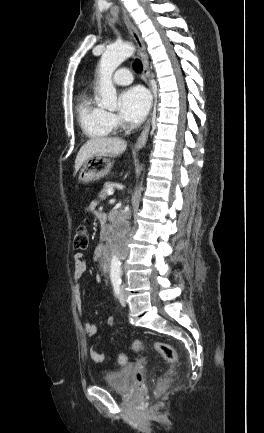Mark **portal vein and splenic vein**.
<instances>
[{
  "label": "portal vein and splenic vein",
  "instance_id": "18ae733b",
  "mask_svg": "<svg viewBox=\"0 0 264 433\" xmlns=\"http://www.w3.org/2000/svg\"><path fill=\"white\" fill-rule=\"evenodd\" d=\"M114 191L113 190H109L108 191V195H113Z\"/></svg>",
  "mask_w": 264,
  "mask_h": 433
}]
</instances>
